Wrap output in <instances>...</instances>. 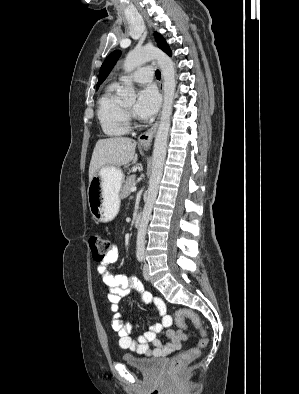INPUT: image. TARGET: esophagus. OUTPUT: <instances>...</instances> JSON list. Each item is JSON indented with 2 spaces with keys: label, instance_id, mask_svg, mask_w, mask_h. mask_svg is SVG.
Listing matches in <instances>:
<instances>
[{
  "label": "esophagus",
  "instance_id": "1",
  "mask_svg": "<svg viewBox=\"0 0 299 394\" xmlns=\"http://www.w3.org/2000/svg\"><path fill=\"white\" fill-rule=\"evenodd\" d=\"M159 87H160L161 93H163V79L160 80ZM158 119L150 129H148L146 132L139 135L138 142H139L140 146H142L144 148H149L151 146L152 140L154 138V135H155L157 127H158Z\"/></svg>",
  "mask_w": 299,
  "mask_h": 394
}]
</instances>
